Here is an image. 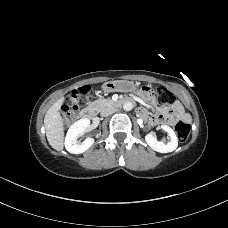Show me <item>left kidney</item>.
Masks as SVG:
<instances>
[{"mask_svg": "<svg viewBox=\"0 0 228 228\" xmlns=\"http://www.w3.org/2000/svg\"><path fill=\"white\" fill-rule=\"evenodd\" d=\"M161 128L166 131L170 137V140L168 141L167 144L164 142H160L157 140L156 136L154 133H148L145 136V141L147 144L155 151L160 152V153H168L174 151L177 146H178V139L173 131L172 128H170L167 125H162Z\"/></svg>", "mask_w": 228, "mask_h": 228, "instance_id": "obj_1", "label": "left kidney"}]
</instances>
